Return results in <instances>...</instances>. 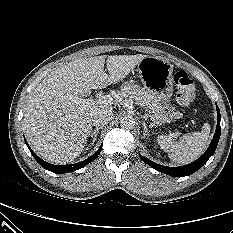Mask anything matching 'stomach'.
<instances>
[{
	"label": "stomach",
	"instance_id": "1",
	"mask_svg": "<svg viewBox=\"0 0 233 233\" xmlns=\"http://www.w3.org/2000/svg\"><path fill=\"white\" fill-rule=\"evenodd\" d=\"M142 84L154 101L163 106V109L172 117H180L169 101L173 95V65L166 59L156 56H146L137 65Z\"/></svg>",
	"mask_w": 233,
	"mask_h": 233
}]
</instances>
